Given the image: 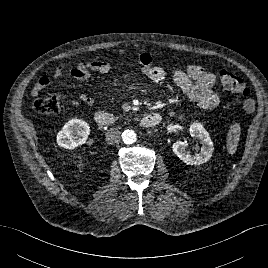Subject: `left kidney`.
Segmentation results:
<instances>
[{
    "label": "left kidney",
    "mask_w": 268,
    "mask_h": 268,
    "mask_svg": "<svg viewBox=\"0 0 268 268\" xmlns=\"http://www.w3.org/2000/svg\"><path fill=\"white\" fill-rule=\"evenodd\" d=\"M190 134L192 137L200 140L201 151L199 153L191 154L187 150V142L177 141L173 144V152L187 165H201L212 157L214 147L209 133L205 130L202 124L193 123L190 126Z\"/></svg>",
    "instance_id": "obj_1"
}]
</instances>
